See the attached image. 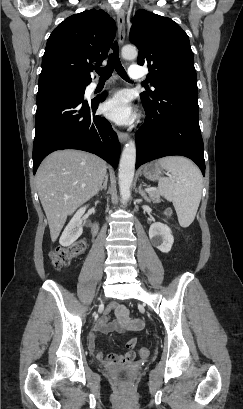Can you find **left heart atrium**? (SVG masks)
I'll return each instance as SVG.
<instances>
[{
    "label": "left heart atrium",
    "instance_id": "left-heart-atrium-1",
    "mask_svg": "<svg viewBox=\"0 0 243 409\" xmlns=\"http://www.w3.org/2000/svg\"><path fill=\"white\" fill-rule=\"evenodd\" d=\"M103 112L117 124H127L134 118L128 95L124 91L115 93L103 105Z\"/></svg>",
    "mask_w": 243,
    "mask_h": 409
}]
</instances>
